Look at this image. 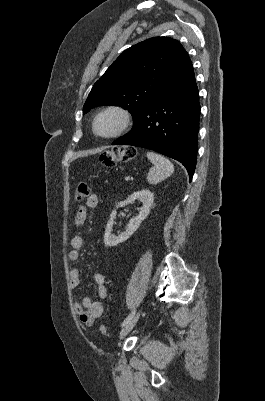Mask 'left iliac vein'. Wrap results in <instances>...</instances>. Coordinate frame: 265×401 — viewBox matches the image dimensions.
<instances>
[{
    "mask_svg": "<svg viewBox=\"0 0 265 401\" xmlns=\"http://www.w3.org/2000/svg\"><path fill=\"white\" fill-rule=\"evenodd\" d=\"M141 315V310H139L133 318L122 328L120 331V340L124 339L125 336H127L130 331L133 329V327L137 324L139 318Z\"/></svg>",
    "mask_w": 265,
    "mask_h": 401,
    "instance_id": "obj_1",
    "label": "left iliac vein"
}]
</instances>
